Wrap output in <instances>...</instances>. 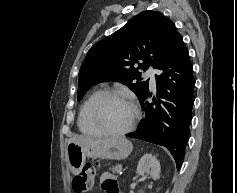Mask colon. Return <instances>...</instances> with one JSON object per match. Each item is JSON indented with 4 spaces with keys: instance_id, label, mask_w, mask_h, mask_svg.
<instances>
[{
    "instance_id": "colon-1",
    "label": "colon",
    "mask_w": 237,
    "mask_h": 193,
    "mask_svg": "<svg viewBox=\"0 0 237 193\" xmlns=\"http://www.w3.org/2000/svg\"><path fill=\"white\" fill-rule=\"evenodd\" d=\"M94 175L95 167L91 164H86L83 169L75 175L72 181V189L74 193L88 192L93 185Z\"/></svg>"
}]
</instances>
